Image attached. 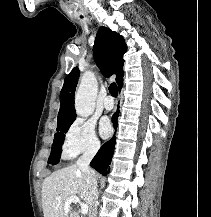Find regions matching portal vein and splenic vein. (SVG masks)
<instances>
[{
    "label": "portal vein and splenic vein",
    "instance_id": "1",
    "mask_svg": "<svg viewBox=\"0 0 211 217\" xmlns=\"http://www.w3.org/2000/svg\"><path fill=\"white\" fill-rule=\"evenodd\" d=\"M71 203H79L81 206V212L82 214H87L88 213V205L82 203L80 199L77 196H71L65 203L64 205V210L68 211L69 206Z\"/></svg>",
    "mask_w": 211,
    "mask_h": 217
}]
</instances>
